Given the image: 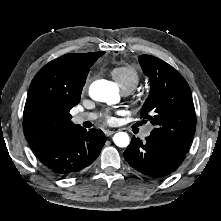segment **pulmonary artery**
I'll list each match as a JSON object with an SVG mask.
<instances>
[{
	"mask_svg": "<svg viewBox=\"0 0 221 221\" xmlns=\"http://www.w3.org/2000/svg\"><path fill=\"white\" fill-rule=\"evenodd\" d=\"M124 93H128V92H124ZM96 117L97 115L95 113H79L74 116L73 120L76 124H82L87 121H93L96 119ZM150 132H151V128L149 127L144 131L143 135L147 137L150 135Z\"/></svg>",
	"mask_w": 221,
	"mask_h": 221,
	"instance_id": "e3ab8cb5",
	"label": "pulmonary artery"
}]
</instances>
